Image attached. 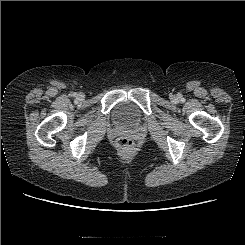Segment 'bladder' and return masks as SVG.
<instances>
[{"instance_id":"bladder-1","label":"bladder","mask_w":245,"mask_h":245,"mask_svg":"<svg viewBox=\"0 0 245 245\" xmlns=\"http://www.w3.org/2000/svg\"><path fill=\"white\" fill-rule=\"evenodd\" d=\"M115 118L122 125L133 126L137 123L138 111L130 103H121L115 110Z\"/></svg>"}]
</instances>
